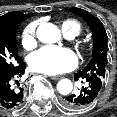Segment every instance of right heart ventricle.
<instances>
[{"label": "right heart ventricle", "instance_id": "right-heart-ventricle-1", "mask_svg": "<svg viewBox=\"0 0 117 117\" xmlns=\"http://www.w3.org/2000/svg\"><path fill=\"white\" fill-rule=\"evenodd\" d=\"M62 30L67 36H76L81 31V25L74 19H66L61 24Z\"/></svg>", "mask_w": 117, "mask_h": 117}]
</instances>
